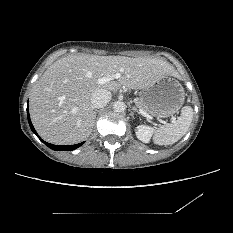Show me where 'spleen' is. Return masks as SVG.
I'll use <instances>...</instances> for the list:
<instances>
[{
	"instance_id": "obj_1",
	"label": "spleen",
	"mask_w": 233,
	"mask_h": 233,
	"mask_svg": "<svg viewBox=\"0 0 233 233\" xmlns=\"http://www.w3.org/2000/svg\"><path fill=\"white\" fill-rule=\"evenodd\" d=\"M193 119V109L184 106L178 119L166 124L155 131L153 141L157 145H172L180 140L188 131Z\"/></svg>"
}]
</instances>
